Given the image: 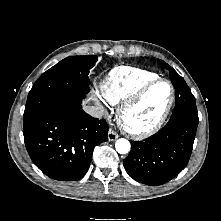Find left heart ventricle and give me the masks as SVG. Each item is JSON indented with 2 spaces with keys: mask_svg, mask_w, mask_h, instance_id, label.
<instances>
[{
  "mask_svg": "<svg viewBox=\"0 0 221 221\" xmlns=\"http://www.w3.org/2000/svg\"><path fill=\"white\" fill-rule=\"evenodd\" d=\"M170 93V86L167 83H159L154 86L148 92L143 103L129 115L130 123L137 127L152 124L164 110Z\"/></svg>",
  "mask_w": 221,
  "mask_h": 221,
  "instance_id": "left-heart-ventricle-1",
  "label": "left heart ventricle"
}]
</instances>
